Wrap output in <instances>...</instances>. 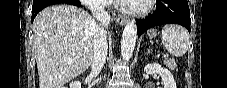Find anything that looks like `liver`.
I'll list each match as a JSON object with an SVG mask.
<instances>
[{
    "mask_svg": "<svg viewBox=\"0 0 227 88\" xmlns=\"http://www.w3.org/2000/svg\"><path fill=\"white\" fill-rule=\"evenodd\" d=\"M98 26L74 5H52L36 16L33 47L40 88H62L89 68Z\"/></svg>",
    "mask_w": 227,
    "mask_h": 88,
    "instance_id": "liver-1",
    "label": "liver"
}]
</instances>
